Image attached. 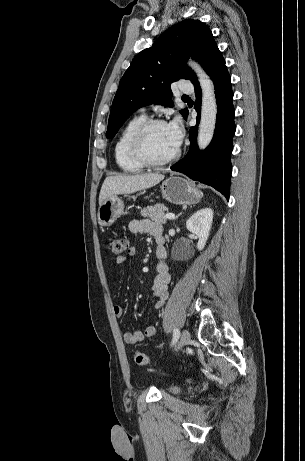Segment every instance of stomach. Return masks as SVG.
I'll list each match as a JSON object with an SVG mask.
<instances>
[{
  "mask_svg": "<svg viewBox=\"0 0 305 461\" xmlns=\"http://www.w3.org/2000/svg\"><path fill=\"white\" fill-rule=\"evenodd\" d=\"M162 196L170 203L177 205L195 204L203 194L192 182L182 177L171 176L161 185ZM124 214L122 198L113 195L105 200L98 209V223L101 226H111L115 220Z\"/></svg>",
  "mask_w": 305,
  "mask_h": 461,
  "instance_id": "obj_1",
  "label": "stomach"
}]
</instances>
